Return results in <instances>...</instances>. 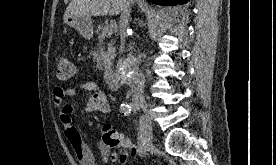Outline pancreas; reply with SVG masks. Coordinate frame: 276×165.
Here are the masks:
<instances>
[{
	"label": "pancreas",
	"mask_w": 276,
	"mask_h": 165,
	"mask_svg": "<svg viewBox=\"0 0 276 165\" xmlns=\"http://www.w3.org/2000/svg\"><path fill=\"white\" fill-rule=\"evenodd\" d=\"M106 35L100 34L98 35L99 43L97 44V48L93 51V58L96 61V67L100 70L107 69L114 59L115 56V48L113 47V42L107 44V46H103V39Z\"/></svg>",
	"instance_id": "1"
}]
</instances>
